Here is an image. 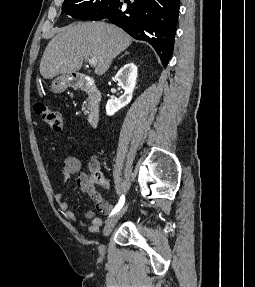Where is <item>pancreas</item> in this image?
Listing matches in <instances>:
<instances>
[{
  "instance_id": "cf45deb5",
  "label": "pancreas",
  "mask_w": 255,
  "mask_h": 287,
  "mask_svg": "<svg viewBox=\"0 0 255 287\" xmlns=\"http://www.w3.org/2000/svg\"><path fill=\"white\" fill-rule=\"evenodd\" d=\"M82 110H83L84 114H86V112H88L86 106H82Z\"/></svg>"
}]
</instances>
